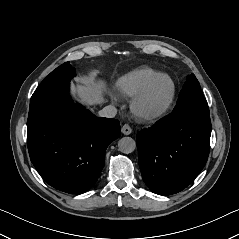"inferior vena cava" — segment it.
Masks as SVG:
<instances>
[{"label":"inferior vena cava","instance_id":"obj_1","mask_svg":"<svg viewBox=\"0 0 239 239\" xmlns=\"http://www.w3.org/2000/svg\"><path fill=\"white\" fill-rule=\"evenodd\" d=\"M117 114V109L114 106L108 105L99 111L100 117L113 118Z\"/></svg>","mask_w":239,"mask_h":239}]
</instances>
